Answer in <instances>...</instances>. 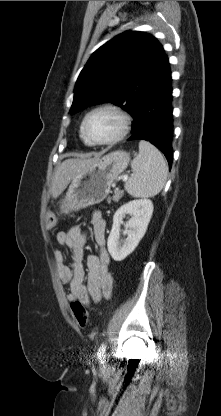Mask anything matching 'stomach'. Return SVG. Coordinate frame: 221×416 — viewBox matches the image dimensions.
Masks as SVG:
<instances>
[{
  "instance_id": "obj_1",
  "label": "stomach",
  "mask_w": 221,
  "mask_h": 416,
  "mask_svg": "<svg viewBox=\"0 0 221 416\" xmlns=\"http://www.w3.org/2000/svg\"><path fill=\"white\" fill-rule=\"evenodd\" d=\"M129 161L130 154L118 150L78 173L60 202V212L68 214L102 202L109 194L111 184L127 168Z\"/></svg>"
}]
</instances>
